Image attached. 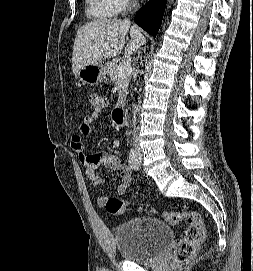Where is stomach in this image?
Wrapping results in <instances>:
<instances>
[{
	"label": "stomach",
	"mask_w": 253,
	"mask_h": 271,
	"mask_svg": "<svg viewBox=\"0 0 253 271\" xmlns=\"http://www.w3.org/2000/svg\"><path fill=\"white\" fill-rule=\"evenodd\" d=\"M80 82L88 85H97L106 78V70L102 63L88 64L78 71Z\"/></svg>",
	"instance_id": "0dacf381"
}]
</instances>
